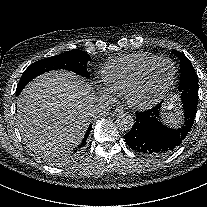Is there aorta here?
<instances>
[{
    "label": "aorta",
    "mask_w": 207,
    "mask_h": 207,
    "mask_svg": "<svg viewBox=\"0 0 207 207\" xmlns=\"http://www.w3.org/2000/svg\"><path fill=\"white\" fill-rule=\"evenodd\" d=\"M116 125L121 131H129L134 125V119L129 114L121 113L116 118Z\"/></svg>",
    "instance_id": "obj_1"
}]
</instances>
